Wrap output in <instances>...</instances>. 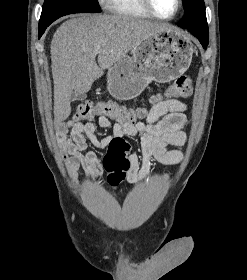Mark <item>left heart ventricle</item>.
Wrapping results in <instances>:
<instances>
[{
  "label": "left heart ventricle",
  "instance_id": "b2bd125f",
  "mask_svg": "<svg viewBox=\"0 0 247 280\" xmlns=\"http://www.w3.org/2000/svg\"><path fill=\"white\" fill-rule=\"evenodd\" d=\"M151 3L156 13L162 17L171 16L177 6L176 0H151Z\"/></svg>",
  "mask_w": 247,
  "mask_h": 280
}]
</instances>
